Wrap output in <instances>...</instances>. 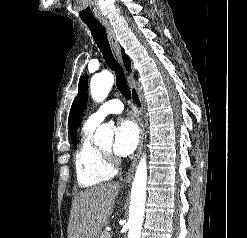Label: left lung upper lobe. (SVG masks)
Masks as SVG:
<instances>
[{"label": "left lung upper lobe", "mask_w": 247, "mask_h": 238, "mask_svg": "<svg viewBox=\"0 0 247 238\" xmlns=\"http://www.w3.org/2000/svg\"><path fill=\"white\" fill-rule=\"evenodd\" d=\"M87 103V77L83 76L79 82L78 95L76 96L69 115V130L73 145H76L77 122L82 115Z\"/></svg>", "instance_id": "1"}]
</instances>
